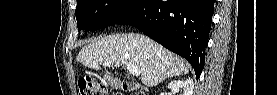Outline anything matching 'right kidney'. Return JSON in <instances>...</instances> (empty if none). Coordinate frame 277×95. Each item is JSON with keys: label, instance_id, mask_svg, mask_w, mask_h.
Here are the masks:
<instances>
[{"label": "right kidney", "instance_id": "1", "mask_svg": "<svg viewBox=\"0 0 277 95\" xmlns=\"http://www.w3.org/2000/svg\"><path fill=\"white\" fill-rule=\"evenodd\" d=\"M181 87L184 88L183 95H193L194 84L191 79L173 80L168 84V89L173 93H177Z\"/></svg>", "mask_w": 277, "mask_h": 95}]
</instances>
